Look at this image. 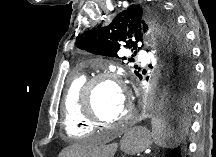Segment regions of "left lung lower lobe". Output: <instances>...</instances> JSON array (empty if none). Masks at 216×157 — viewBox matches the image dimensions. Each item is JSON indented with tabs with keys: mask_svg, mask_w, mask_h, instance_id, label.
Wrapping results in <instances>:
<instances>
[{
	"mask_svg": "<svg viewBox=\"0 0 216 157\" xmlns=\"http://www.w3.org/2000/svg\"><path fill=\"white\" fill-rule=\"evenodd\" d=\"M173 78L171 74L170 77H168L166 72L165 90L169 103L164 116L173 123L174 127L172 129L174 132L184 134L188 128V116L195 92V81L181 87L176 84Z\"/></svg>",
	"mask_w": 216,
	"mask_h": 157,
	"instance_id": "0a47b994",
	"label": "left lung lower lobe"
}]
</instances>
